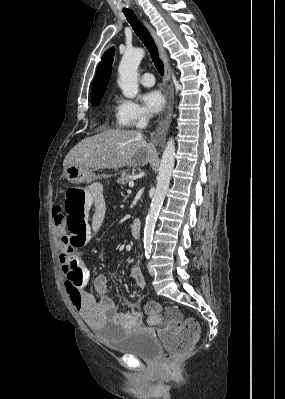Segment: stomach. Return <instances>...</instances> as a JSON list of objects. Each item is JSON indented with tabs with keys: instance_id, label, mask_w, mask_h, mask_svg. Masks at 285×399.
<instances>
[{
	"instance_id": "stomach-1",
	"label": "stomach",
	"mask_w": 285,
	"mask_h": 399,
	"mask_svg": "<svg viewBox=\"0 0 285 399\" xmlns=\"http://www.w3.org/2000/svg\"><path fill=\"white\" fill-rule=\"evenodd\" d=\"M63 177L72 184L90 183L94 177L92 172L78 165H67L63 170Z\"/></svg>"
}]
</instances>
